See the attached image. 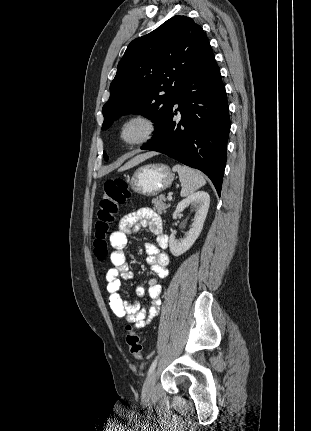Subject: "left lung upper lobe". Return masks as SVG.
<instances>
[{"instance_id": "obj_1", "label": "left lung upper lobe", "mask_w": 311, "mask_h": 431, "mask_svg": "<svg viewBox=\"0 0 311 431\" xmlns=\"http://www.w3.org/2000/svg\"><path fill=\"white\" fill-rule=\"evenodd\" d=\"M209 49L203 29L186 16H175L133 40L110 85L102 129L121 115L137 113L152 119L156 133L183 81Z\"/></svg>"}]
</instances>
